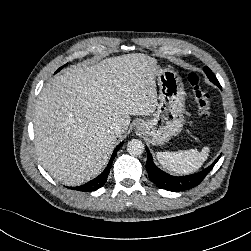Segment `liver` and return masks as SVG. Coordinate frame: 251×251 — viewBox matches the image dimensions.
<instances>
[{"instance_id": "obj_1", "label": "liver", "mask_w": 251, "mask_h": 251, "mask_svg": "<svg viewBox=\"0 0 251 251\" xmlns=\"http://www.w3.org/2000/svg\"><path fill=\"white\" fill-rule=\"evenodd\" d=\"M157 60L141 53L77 65L51 79L36 102L35 147L53 178L77 186L106 166L117 136L110 127L130 124V115H150L158 106Z\"/></svg>"}]
</instances>
